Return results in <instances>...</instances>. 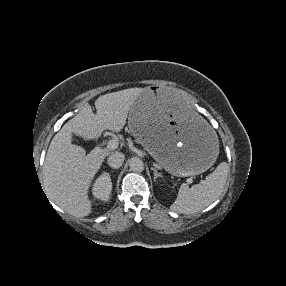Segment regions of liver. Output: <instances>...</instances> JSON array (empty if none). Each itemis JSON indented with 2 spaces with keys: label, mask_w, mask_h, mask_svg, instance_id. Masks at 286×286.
<instances>
[{
  "label": "liver",
  "mask_w": 286,
  "mask_h": 286,
  "mask_svg": "<svg viewBox=\"0 0 286 286\" xmlns=\"http://www.w3.org/2000/svg\"><path fill=\"white\" fill-rule=\"evenodd\" d=\"M142 88H130L100 96L97 113L87 105L53 137L43 165V182L48 197L67 213L85 217L92 212L90 184L108 152L96 147L86 150L72 143L73 134L84 140L97 139L108 129L120 132Z\"/></svg>",
  "instance_id": "obj_1"
}]
</instances>
